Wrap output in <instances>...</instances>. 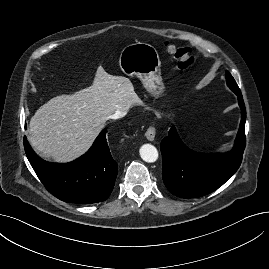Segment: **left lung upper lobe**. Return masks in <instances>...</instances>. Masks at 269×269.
<instances>
[{"instance_id": "obj_1", "label": "left lung upper lobe", "mask_w": 269, "mask_h": 269, "mask_svg": "<svg viewBox=\"0 0 269 269\" xmlns=\"http://www.w3.org/2000/svg\"><path fill=\"white\" fill-rule=\"evenodd\" d=\"M226 82H227V85L229 86V88L233 92H240V89H239L236 81L234 80V78L232 77V75L228 71H226Z\"/></svg>"}]
</instances>
